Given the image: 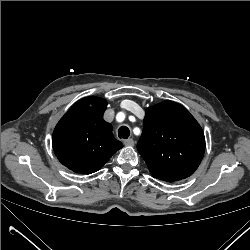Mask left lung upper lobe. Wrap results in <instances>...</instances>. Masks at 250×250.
<instances>
[{
    "label": "left lung upper lobe",
    "instance_id": "left-lung-upper-lobe-1",
    "mask_svg": "<svg viewBox=\"0 0 250 250\" xmlns=\"http://www.w3.org/2000/svg\"><path fill=\"white\" fill-rule=\"evenodd\" d=\"M137 149L154 178L175 182L191 176L198 168L205 137L185 107L165 101L146 109Z\"/></svg>",
    "mask_w": 250,
    "mask_h": 250
}]
</instances>
